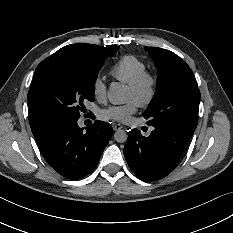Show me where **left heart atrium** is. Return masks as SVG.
Wrapping results in <instances>:
<instances>
[{
    "label": "left heart atrium",
    "mask_w": 233,
    "mask_h": 233,
    "mask_svg": "<svg viewBox=\"0 0 233 233\" xmlns=\"http://www.w3.org/2000/svg\"><path fill=\"white\" fill-rule=\"evenodd\" d=\"M140 107V102L136 99H131L128 103L111 107L100 112V116L103 119H112L120 122L127 121L131 115H133Z\"/></svg>",
    "instance_id": "left-heart-atrium-1"
}]
</instances>
